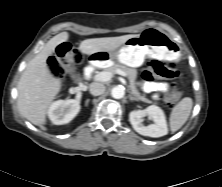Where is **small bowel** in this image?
Listing matches in <instances>:
<instances>
[{
    "mask_svg": "<svg viewBox=\"0 0 222 187\" xmlns=\"http://www.w3.org/2000/svg\"><path fill=\"white\" fill-rule=\"evenodd\" d=\"M141 86L145 92L152 93L155 99L159 98L160 92L165 91L168 88L166 83L156 81H144Z\"/></svg>",
    "mask_w": 222,
    "mask_h": 187,
    "instance_id": "c3829d8e",
    "label": "small bowel"
}]
</instances>
